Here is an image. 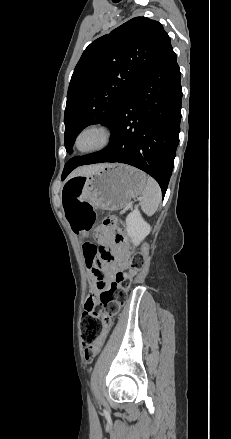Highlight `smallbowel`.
I'll return each mask as SVG.
<instances>
[{"label":"small bowel","mask_w":231,"mask_h":439,"mask_svg":"<svg viewBox=\"0 0 231 439\" xmlns=\"http://www.w3.org/2000/svg\"><path fill=\"white\" fill-rule=\"evenodd\" d=\"M75 232L78 235L80 241L82 242L83 253H84V256L86 257L87 249H93L95 245L92 244L91 242H89L88 233L86 231L76 230ZM99 233L101 235H104L108 240H110L112 238V233H111V230L109 228H103V229L99 230ZM112 249H113V252L115 253V255L117 256L118 261L123 262V260L125 258L124 249L121 247H115ZM104 253L107 256L109 255V253H107L106 251L102 252V254H104ZM102 259H104V258H102ZM111 270H112V267L110 266V264L106 263L105 261H99V262L95 261L93 266L90 267V274H89L90 293L85 301V309L91 308L98 303L99 294L105 288V285H106L105 282L101 281L98 278L97 273L98 272L108 273ZM100 344H101V341L97 342L95 344V346L97 348H99Z\"/></svg>","instance_id":"small-bowel-1"}]
</instances>
